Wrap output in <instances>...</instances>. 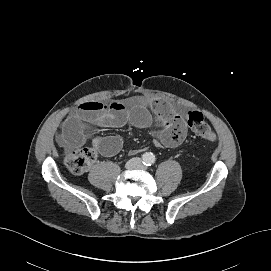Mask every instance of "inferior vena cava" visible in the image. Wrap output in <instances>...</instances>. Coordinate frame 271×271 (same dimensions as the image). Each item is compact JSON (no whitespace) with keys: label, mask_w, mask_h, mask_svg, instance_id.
Instances as JSON below:
<instances>
[{"label":"inferior vena cava","mask_w":271,"mask_h":271,"mask_svg":"<svg viewBox=\"0 0 271 271\" xmlns=\"http://www.w3.org/2000/svg\"><path fill=\"white\" fill-rule=\"evenodd\" d=\"M130 162H137V163H140V160H139V158H133V159L130 160Z\"/></svg>","instance_id":"1"}]
</instances>
